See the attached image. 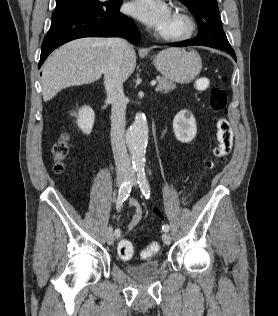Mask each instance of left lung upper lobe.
<instances>
[{"label":"left lung upper lobe","instance_id":"1","mask_svg":"<svg viewBox=\"0 0 278 316\" xmlns=\"http://www.w3.org/2000/svg\"><path fill=\"white\" fill-rule=\"evenodd\" d=\"M194 14L199 33L196 41L225 51H234L222 28L217 0H180Z\"/></svg>","mask_w":278,"mask_h":316}]
</instances>
